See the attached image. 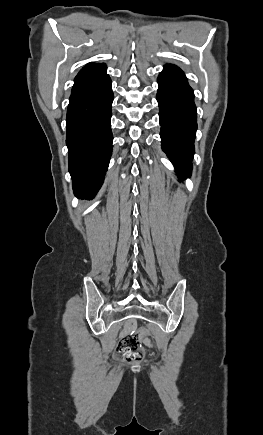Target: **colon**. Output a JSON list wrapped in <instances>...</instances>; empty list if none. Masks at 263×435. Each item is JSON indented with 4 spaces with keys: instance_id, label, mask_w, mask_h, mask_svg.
<instances>
[{
    "instance_id": "5ec220e1",
    "label": "colon",
    "mask_w": 263,
    "mask_h": 435,
    "mask_svg": "<svg viewBox=\"0 0 263 435\" xmlns=\"http://www.w3.org/2000/svg\"><path fill=\"white\" fill-rule=\"evenodd\" d=\"M152 332L148 327H139L126 334L119 341L115 350V357L126 363H133L141 360L142 350L140 339H147Z\"/></svg>"
}]
</instances>
